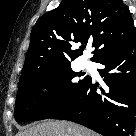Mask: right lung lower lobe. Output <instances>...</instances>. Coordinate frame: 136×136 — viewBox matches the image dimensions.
<instances>
[{
    "label": "right lung lower lobe",
    "instance_id": "right-lung-lower-lobe-1",
    "mask_svg": "<svg viewBox=\"0 0 136 136\" xmlns=\"http://www.w3.org/2000/svg\"><path fill=\"white\" fill-rule=\"evenodd\" d=\"M93 61L105 66L98 72L108 88L97 93L99 85L89 77L77 94L48 118L73 121L103 136H134L136 35Z\"/></svg>",
    "mask_w": 136,
    "mask_h": 136
}]
</instances>
